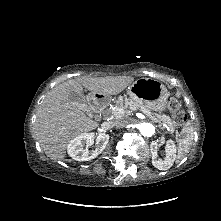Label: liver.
<instances>
[{"label": "liver", "instance_id": "6515ba94", "mask_svg": "<svg viewBox=\"0 0 221 221\" xmlns=\"http://www.w3.org/2000/svg\"><path fill=\"white\" fill-rule=\"evenodd\" d=\"M133 81L130 76L85 77L68 80L52 89L38 109L34 126L35 136L45 154L51 159H64L71 139L99 126L87 116L85 103L69 100V92L84 96L85 88L94 95H117Z\"/></svg>", "mask_w": 221, "mask_h": 221}]
</instances>
